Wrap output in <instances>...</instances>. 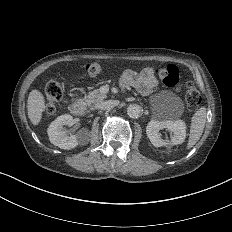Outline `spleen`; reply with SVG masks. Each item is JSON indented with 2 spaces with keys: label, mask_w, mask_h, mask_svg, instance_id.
Instances as JSON below:
<instances>
[{
  "label": "spleen",
  "mask_w": 232,
  "mask_h": 232,
  "mask_svg": "<svg viewBox=\"0 0 232 232\" xmlns=\"http://www.w3.org/2000/svg\"><path fill=\"white\" fill-rule=\"evenodd\" d=\"M206 123V108L201 107L195 112L191 120L190 135L187 148L193 147L200 139Z\"/></svg>",
  "instance_id": "3e777b00"
}]
</instances>
